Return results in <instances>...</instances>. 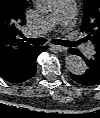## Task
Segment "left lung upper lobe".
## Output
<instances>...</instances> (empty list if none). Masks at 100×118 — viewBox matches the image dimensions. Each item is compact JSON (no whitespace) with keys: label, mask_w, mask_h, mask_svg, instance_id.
I'll use <instances>...</instances> for the list:
<instances>
[{"label":"left lung upper lobe","mask_w":100,"mask_h":118,"mask_svg":"<svg viewBox=\"0 0 100 118\" xmlns=\"http://www.w3.org/2000/svg\"><path fill=\"white\" fill-rule=\"evenodd\" d=\"M81 31L87 33L95 46V51L100 54V0H84V16Z\"/></svg>","instance_id":"left-lung-upper-lobe-1"}]
</instances>
